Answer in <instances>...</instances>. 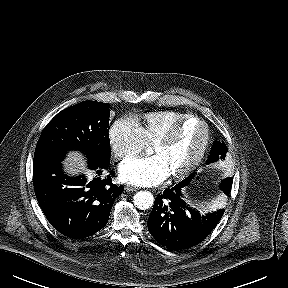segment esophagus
I'll list each match as a JSON object with an SVG mask.
<instances>
[{"label":"esophagus","instance_id":"obj_1","mask_svg":"<svg viewBox=\"0 0 288 288\" xmlns=\"http://www.w3.org/2000/svg\"><path fill=\"white\" fill-rule=\"evenodd\" d=\"M125 190L128 191V192H133V191H137L138 188L135 187V186L126 185V186H125Z\"/></svg>","mask_w":288,"mask_h":288}]
</instances>
